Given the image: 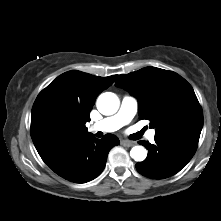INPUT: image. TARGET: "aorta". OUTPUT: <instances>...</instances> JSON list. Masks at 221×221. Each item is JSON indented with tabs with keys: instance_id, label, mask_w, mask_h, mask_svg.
Returning a JSON list of instances; mask_svg holds the SVG:
<instances>
[{
	"instance_id": "762f6f07",
	"label": "aorta",
	"mask_w": 221,
	"mask_h": 221,
	"mask_svg": "<svg viewBox=\"0 0 221 221\" xmlns=\"http://www.w3.org/2000/svg\"><path fill=\"white\" fill-rule=\"evenodd\" d=\"M119 108V98L111 92L102 93L97 99V109L103 115H112ZM130 156L137 162L145 160L147 150L143 146H134L130 151Z\"/></svg>"
}]
</instances>
